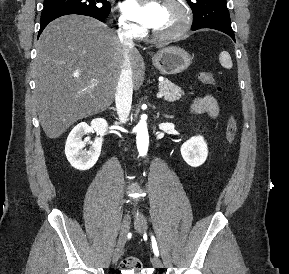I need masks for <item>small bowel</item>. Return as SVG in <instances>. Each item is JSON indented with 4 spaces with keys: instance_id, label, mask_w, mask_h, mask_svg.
Returning <instances> with one entry per match:
<instances>
[{
    "instance_id": "1",
    "label": "small bowel",
    "mask_w": 289,
    "mask_h": 274,
    "mask_svg": "<svg viewBox=\"0 0 289 274\" xmlns=\"http://www.w3.org/2000/svg\"><path fill=\"white\" fill-rule=\"evenodd\" d=\"M194 114H207L211 118H216L219 113V106L214 96L205 94L194 99L192 106Z\"/></svg>"
}]
</instances>
